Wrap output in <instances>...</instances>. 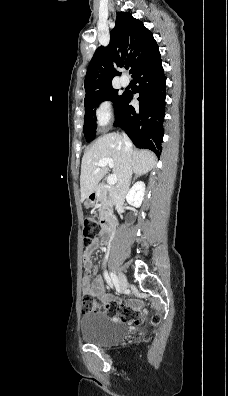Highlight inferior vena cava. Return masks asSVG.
<instances>
[{"instance_id":"inferior-vena-cava-1","label":"inferior vena cava","mask_w":228,"mask_h":396,"mask_svg":"<svg viewBox=\"0 0 228 396\" xmlns=\"http://www.w3.org/2000/svg\"><path fill=\"white\" fill-rule=\"evenodd\" d=\"M123 141L125 143V152L123 155V162L121 166V172L118 178V183L113 191L114 203L122 200L130 186L132 168H131V142L127 135L123 133Z\"/></svg>"}]
</instances>
